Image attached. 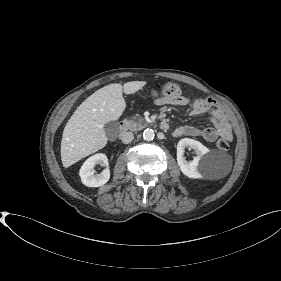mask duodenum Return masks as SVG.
I'll use <instances>...</instances> for the list:
<instances>
[{
  "label": "duodenum",
  "instance_id": "410a0bca",
  "mask_svg": "<svg viewBox=\"0 0 281 281\" xmlns=\"http://www.w3.org/2000/svg\"><path fill=\"white\" fill-rule=\"evenodd\" d=\"M169 127L168 123L163 120L160 122V128L163 129V130H167ZM127 130V124L125 122H121L120 124V132L123 133Z\"/></svg>",
  "mask_w": 281,
  "mask_h": 281
}]
</instances>
